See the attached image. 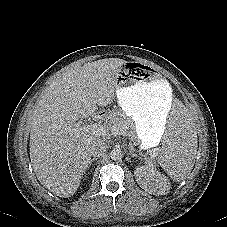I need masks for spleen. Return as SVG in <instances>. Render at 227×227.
Returning a JSON list of instances; mask_svg holds the SVG:
<instances>
[{
    "label": "spleen",
    "mask_w": 227,
    "mask_h": 227,
    "mask_svg": "<svg viewBox=\"0 0 227 227\" xmlns=\"http://www.w3.org/2000/svg\"><path fill=\"white\" fill-rule=\"evenodd\" d=\"M196 154L197 132L189 110L183 104H176L170 110L162 150L145 151L140 165L149 174H157L164 169L174 181L179 182L193 169Z\"/></svg>",
    "instance_id": "1"
}]
</instances>
